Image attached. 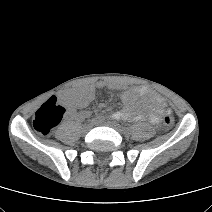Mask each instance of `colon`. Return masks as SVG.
<instances>
[{"label": "colon", "instance_id": "1", "mask_svg": "<svg viewBox=\"0 0 212 212\" xmlns=\"http://www.w3.org/2000/svg\"><path fill=\"white\" fill-rule=\"evenodd\" d=\"M65 114V108L59 104L55 96L45 101L35 112L33 117V127L40 135H48L61 122ZM164 125L168 128L174 124V118L166 115Z\"/></svg>", "mask_w": 212, "mask_h": 212}]
</instances>
